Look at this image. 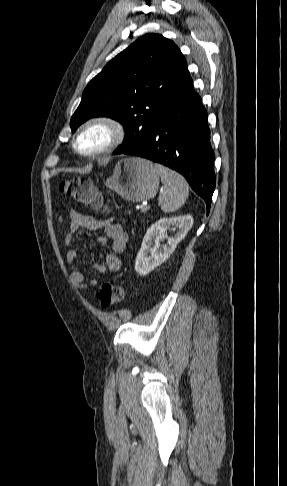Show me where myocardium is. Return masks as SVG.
<instances>
[{
  "label": "myocardium",
  "instance_id": "myocardium-1",
  "mask_svg": "<svg viewBox=\"0 0 287 486\" xmlns=\"http://www.w3.org/2000/svg\"><path fill=\"white\" fill-rule=\"evenodd\" d=\"M103 128L108 133V141L102 147L93 151H83L78 147L80 137L93 128ZM126 131L123 124L111 116H95L86 120L77 130L73 138L74 150L84 157H98L116 149L125 139Z\"/></svg>",
  "mask_w": 287,
  "mask_h": 486
}]
</instances>
